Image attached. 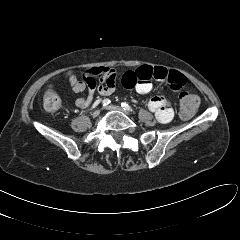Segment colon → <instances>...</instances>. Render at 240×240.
Returning a JSON list of instances; mask_svg holds the SVG:
<instances>
[{
    "label": "colon",
    "instance_id": "colon-1",
    "mask_svg": "<svg viewBox=\"0 0 240 240\" xmlns=\"http://www.w3.org/2000/svg\"><path fill=\"white\" fill-rule=\"evenodd\" d=\"M198 104L199 99L197 96L188 92H182L180 94L181 116L185 119L192 117L198 107ZM43 105L48 112H55L61 106V99L55 91L48 89L43 97Z\"/></svg>",
    "mask_w": 240,
    "mask_h": 240
}]
</instances>
